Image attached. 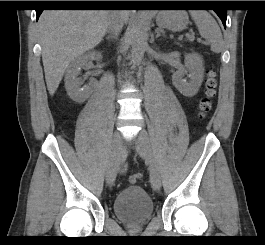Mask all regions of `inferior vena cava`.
Returning <instances> with one entry per match:
<instances>
[{"label": "inferior vena cava", "mask_w": 265, "mask_h": 245, "mask_svg": "<svg viewBox=\"0 0 265 245\" xmlns=\"http://www.w3.org/2000/svg\"><path fill=\"white\" fill-rule=\"evenodd\" d=\"M122 27H123L122 19L119 16H114V18L112 19L109 25L108 32L118 36Z\"/></svg>", "instance_id": "1"}]
</instances>
